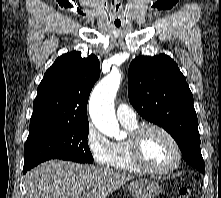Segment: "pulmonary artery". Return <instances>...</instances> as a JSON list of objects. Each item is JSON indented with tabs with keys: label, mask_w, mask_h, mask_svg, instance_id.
<instances>
[{
	"label": "pulmonary artery",
	"mask_w": 221,
	"mask_h": 198,
	"mask_svg": "<svg viewBox=\"0 0 221 198\" xmlns=\"http://www.w3.org/2000/svg\"><path fill=\"white\" fill-rule=\"evenodd\" d=\"M117 118L121 123H135L137 117L135 111L127 104L121 103L116 110Z\"/></svg>",
	"instance_id": "e3ab8cb5"
}]
</instances>
